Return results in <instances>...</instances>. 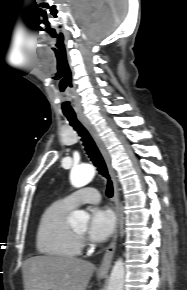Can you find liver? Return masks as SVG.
<instances>
[{
    "label": "liver",
    "mask_w": 187,
    "mask_h": 290,
    "mask_svg": "<svg viewBox=\"0 0 187 290\" xmlns=\"http://www.w3.org/2000/svg\"><path fill=\"white\" fill-rule=\"evenodd\" d=\"M94 270L75 257H31L22 265L24 290H86Z\"/></svg>",
    "instance_id": "liver-1"
}]
</instances>
